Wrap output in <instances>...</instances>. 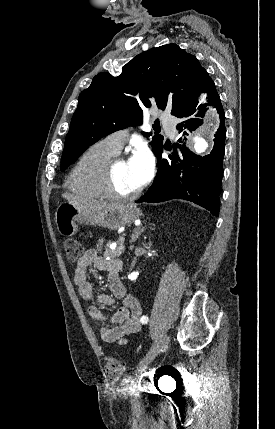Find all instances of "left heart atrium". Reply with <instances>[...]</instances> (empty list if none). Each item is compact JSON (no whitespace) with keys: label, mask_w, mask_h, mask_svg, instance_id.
I'll use <instances>...</instances> for the list:
<instances>
[{"label":"left heart atrium","mask_w":275,"mask_h":429,"mask_svg":"<svg viewBox=\"0 0 275 429\" xmlns=\"http://www.w3.org/2000/svg\"><path fill=\"white\" fill-rule=\"evenodd\" d=\"M128 165L137 187L143 186L149 179L153 160L149 149L145 145L138 146L128 160Z\"/></svg>","instance_id":"left-heart-atrium-1"}]
</instances>
